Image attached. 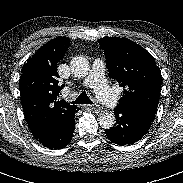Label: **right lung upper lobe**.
Returning a JSON list of instances; mask_svg holds the SVG:
<instances>
[{
	"label": "right lung upper lobe",
	"instance_id": "right-lung-upper-lobe-1",
	"mask_svg": "<svg viewBox=\"0 0 183 183\" xmlns=\"http://www.w3.org/2000/svg\"><path fill=\"white\" fill-rule=\"evenodd\" d=\"M69 44L66 37L50 40L22 68L20 96L30 130L41 123L50 126L69 125L75 118L77 107L59 100L64 85H58L57 63L65 56Z\"/></svg>",
	"mask_w": 183,
	"mask_h": 183
}]
</instances>
